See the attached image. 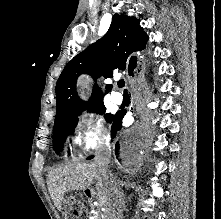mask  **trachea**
I'll return each mask as SVG.
<instances>
[{"mask_svg":"<svg viewBox=\"0 0 221 219\" xmlns=\"http://www.w3.org/2000/svg\"><path fill=\"white\" fill-rule=\"evenodd\" d=\"M124 85H125V81H124L123 79H121V80L118 82V87H119V88H122V87H124Z\"/></svg>","mask_w":221,"mask_h":219,"instance_id":"obj_1","label":"trachea"}]
</instances>
